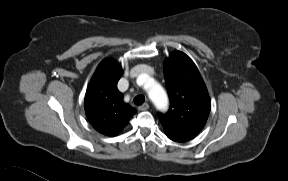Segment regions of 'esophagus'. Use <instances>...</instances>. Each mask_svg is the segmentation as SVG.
Wrapping results in <instances>:
<instances>
[{
	"label": "esophagus",
	"instance_id": "34e87169",
	"mask_svg": "<svg viewBox=\"0 0 288 181\" xmlns=\"http://www.w3.org/2000/svg\"><path fill=\"white\" fill-rule=\"evenodd\" d=\"M147 109H149V104L148 103H144L141 106H139V110L140 111H145Z\"/></svg>",
	"mask_w": 288,
	"mask_h": 181
}]
</instances>
